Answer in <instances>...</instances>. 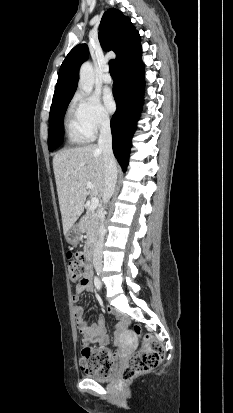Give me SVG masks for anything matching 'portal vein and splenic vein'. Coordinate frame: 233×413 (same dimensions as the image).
I'll return each instance as SVG.
<instances>
[{
  "label": "portal vein and splenic vein",
  "instance_id": "1",
  "mask_svg": "<svg viewBox=\"0 0 233 413\" xmlns=\"http://www.w3.org/2000/svg\"><path fill=\"white\" fill-rule=\"evenodd\" d=\"M86 188L87 189H93V184L91 182H86ZM99 204V198L97 197H92L89 205V210L94 211Z\"/></svg>",
  "mask_w": 233,
  "mask_h": 413
}]
</instances>
